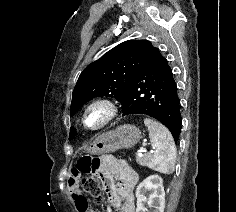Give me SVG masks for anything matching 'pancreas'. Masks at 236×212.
I'll use <instances>...</instances> for the list:
<instances>
[{
	"label": "pancreas",
	"mask_w": 236,
	"mask_h": 212,
	"mask_svg": "<svg viewBox=\"0 0 236 212\" xmlns=\"http://www.w3.org/2000/svg\"><path fill=\"white\" fill-rule=\"evenodd\" d=\"M151 155L150 154H145L143 156H136V162L141 165V166H146L148 165L150 161Z\"/></svg>",
	"instance_id": "1"
}]
</instances>
